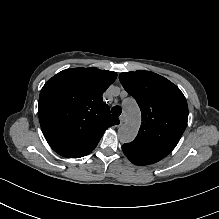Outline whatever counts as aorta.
<instances>
[{
  "label": "aorta",
  "mask_w": 219,
  "mask_h": 219,
  "mask_svg": "<svg viewBox=\"0 0 219 219\" xmlns=\"http://www.w3.org/2000/svg\"><path fill=\"white\" fill-rule=\"evenodd\" d=\"M126 120L118 129V138L122 143L133 141L138 133L141 123L140 109L134 99H126L122 104Z\"/></svg>",
  "instance_id": "aorta-1"
}]
</instances>
